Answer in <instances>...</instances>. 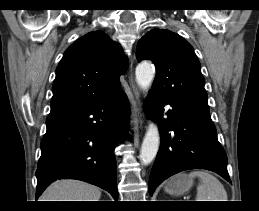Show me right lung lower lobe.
Segmentation results:
<instances>
[{
	"mask_svg": "<svg viewBox=\"0 0 259 211\" xmlns=\"http://www.w3.org/2000/svg\"><path fill=\"white\" fill-rule=\"evenodd\" d=\"M129 104L123 90L91 105L49 114L36 171L38 198L57 179H79L118 198L114 149L126 135Z\"/></svg>",
	"mask_w": 259,
	"mask_h": 211,
	"instance_id": "right-lung-lower-lobe-1",
	"label": "right lung lower lobe"
}]
</instances>
